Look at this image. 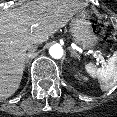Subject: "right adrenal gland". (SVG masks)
I'll list each match as a JSON object with an SVG mask.
<instances>
[{
  "mask_svg": "<svg viewBox=\"0 0 117 117\" xmlns=\"http://www.w3.org/2000/svg\"><path fill=\"white\" fill-rule=\"evenodd\" d=\"M28 61H29V57L27 56V57H26V61H25V65H24V67H23V70H25Z\"/></svg>",
  "mask_w": 117,
  "mask_h": 117,
  "instance_id": "right-adrenal-gland-1",
  "label": "right adrenal gland"
}]
</instances>
